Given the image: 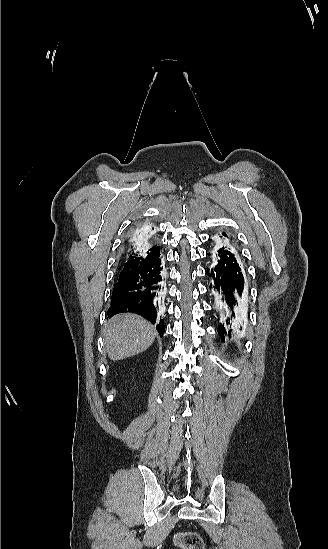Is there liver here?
Returning a JSON list of instances; mask_svg holds the SVG:
<instances>
[{"mask_svg":"<svg viewBox=\"0 0 328 549\" xmlns=\"http://www.w3.org/2000/svg\"><path fill=\"white\" fill-rule=\"evenodd\" d=\"M104 343L109 359L120 361L139 355L155 341L151 323L139 315L123 313L112 317L103 329Z\"/></svg>","mask_w":328,"mask_h":549,"instance_id":"6515ba94","label":"liver"}]
</instances>
